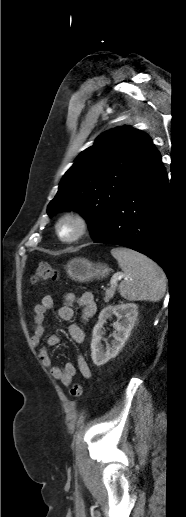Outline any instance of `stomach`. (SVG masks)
Here are the masks:
<instances>
[{
  "label": "stomach",
  "instance_id": "stomach-1",
  "mask_svg": "<svg viewBox=\"0 0 186 517\" xmlns=\"http://www.w3.org/2000/svg\"><path fill=\"white\" fill-rule=\"evenodd\" d=\"M68 276L78 282H88L92 279L104 278L109 274L106 264L93 263L85 258H74L65 266Z\"/></svg>",
  "mask_w": 186,
  "mask_h": 517
}]
</instances>
